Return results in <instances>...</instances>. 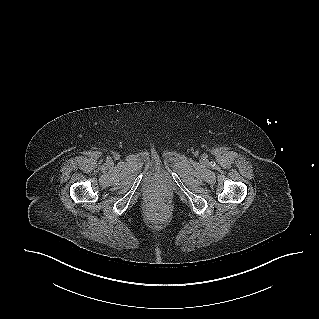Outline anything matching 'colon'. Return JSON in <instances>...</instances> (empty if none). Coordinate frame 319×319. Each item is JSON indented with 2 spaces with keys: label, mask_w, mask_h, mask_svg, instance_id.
I'll return each instance as SVG.
<instances>
[{
  "label": "colon",
  "mask_w": 319,
  "mask_h": 319,
  "mask_svg": "<svg viewBox=\"0 0 319 319\" xmlns=\"http://www.w3.org/2000/svg\"><path fill=\"white\" fill-rule=\"evenodd\" d=\"M159 207H160L161 209H164V205H163V204H160Z\"/></svg>",
  "instance_id": "colon-1"
}]
</instances>
